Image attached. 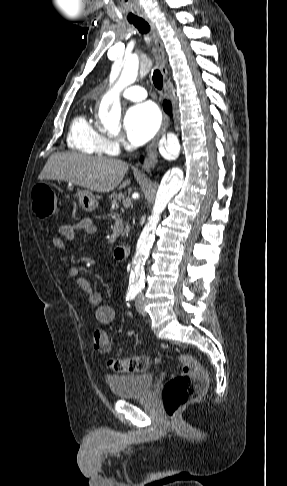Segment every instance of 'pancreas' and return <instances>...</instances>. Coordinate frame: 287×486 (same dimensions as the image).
I'll use <instances>...</instances> for the list:
<instances>
[{
    "mask_svg": "<svg viewBox=\"0 0 287 486\" xmlns=\"http://www.w3.org/2000/svg\"><path fill=\"white\" fill-rule=\"evenodd\" d=\"M110 200H111V202H112V206H113L114 208H117V206H118V204H119V202H120L121 200H123V203H124V201H126V200H129V201H130V199L125 198V197H124V195H123L122 193H118V194H117V193H113V194L110 196ZM130 204H131V201H130ZM130 204H129V205H130ZM129 205H128V206H129ZM126 207H127V206H126ZM129 230H130V228H129V225L127 224V225H126V228H125V230H124V232L122 233V236H128Z\"/></svg>",
    "mask_w": 287,
    "mask_h": 486,
    "instance_id": "obj_1",
    "label": "pancreas"
}]
</instances>
